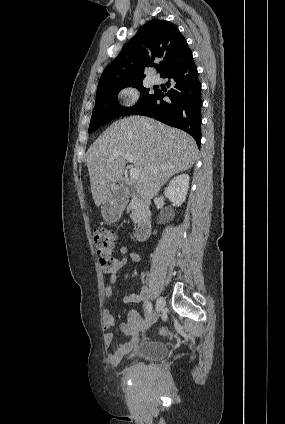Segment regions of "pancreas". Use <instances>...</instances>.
<instances>
[{"mask_svg": "<svg viewBox=\"0 0 285 424\" xmlns=\"http://www.w3.org/2000/svg\"><path fill=\"white\" fill-rule=\"evenodd\" d=\"M129 209L132 210L131 219L134 223H136L141 212V201L138 199H133L129 204Z\"/></svg>", "mask_w": 285, "mask_h": 424, "instance_id": "1", "label": "pancreas"}]
</instances>
